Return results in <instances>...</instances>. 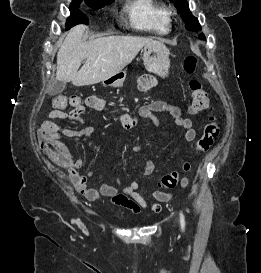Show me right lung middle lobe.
Masks as SVG:
<instances>
[{
  "mask_svg": "<svg viewBox=\"0 0 261 273\" xmlns=\"http://www.w3.org/2000/svg\"><path fill=\"white\" fill-rule=\"evenodd\" d=\"M82 0H73L70 5L71 16L67 19L66 29H70L72 26L85 23L88 24V19L79 9V4ZM87 5L93 9H99L107 4H111L113 0H85Z\"/></svg>",
  "mask_w": 261,
  "mask_h": 273,
  "instance_id": "1",
  "label": "right lung middle lobe"
}]
</instances>
